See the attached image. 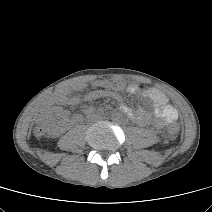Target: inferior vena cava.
I'll return each instance as SVG.
<instances>
[{
  "label": "inferior vena cava",
  "mask_w": 212,
  "mask_h": 212,
  "mask_svg": "<svg viewBox=\"0 0 212 212\" xmlns=\"http://www.w3.org/2000/svg\"><path fill=\"white\" fill-rule=\"evenodd\" d=\"M89 120L92 123L98 124V123H100L101 118L97 114H92V115H90Z\"/></svg>",
  "instance_id": "1"
}]
</instances>
